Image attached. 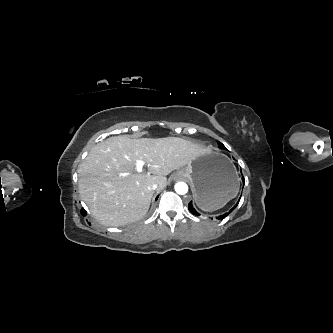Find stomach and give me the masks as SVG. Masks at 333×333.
I'll return each instance as SVG.
<instances>
[{"mask_svg": "<svg viewBox=\"0 0 333 333\" xmlns=\"http://www.w3.org/2000/svg\"><path fill=\"white\" fill-rule=\"evenodd\" d=\"M177 176L187 178L196 204L202 210L225 205L237 191V172L224 154L208 150L181 168Z\"/></svg>", "mask_w": 333, "mask_h": 333, "instance_id": "stomach-1", "label": "stomach"}]
</instances>
